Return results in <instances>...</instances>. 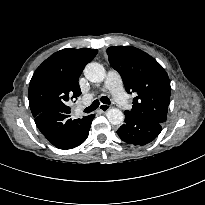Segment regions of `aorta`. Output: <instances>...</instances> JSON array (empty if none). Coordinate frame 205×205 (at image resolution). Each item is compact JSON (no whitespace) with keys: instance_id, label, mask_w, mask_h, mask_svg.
Masks as SVG:
<instances>
[{"instance_id":"aorta-1","label":"aorta","mask_w":205,"mask_h":205,"mask_svg":"<svg viewBox=\"0 0 205 205\" xmlns=\"http://www.w3.org/2000/svg\"><path fill=\"white\" fill-rule=\"evenodd\" d=\"M85 77L93 83H100L104 80L106 72L104 67L96 62H91L84 69ZM107 119L112 125H120L124 121V114L120 109L110 108L107 111Z\"/></svg>"}]
</instances>
